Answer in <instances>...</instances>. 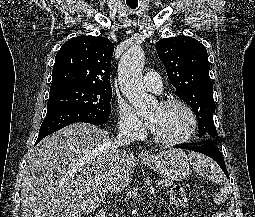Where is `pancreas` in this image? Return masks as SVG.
Returning a JSON list of instances; mask_svg holds the SVG:
<instances>
[{
    "label": "pancreas",
    "mask_w": 255,
    "mask_h": 217,
    "mask_svg": "<svg viewBox=\"0 0 255 217\" xmlns=\"http://www.w3.org/2000/svg\"><path fill=\"white\" fill-rule=\"evenodd\" d=\"M156 184L159 189H164L171 186L173 183L170 180H157Z\"/></svg>",
    "instance_id": "obj_1"
}]
</instances>
